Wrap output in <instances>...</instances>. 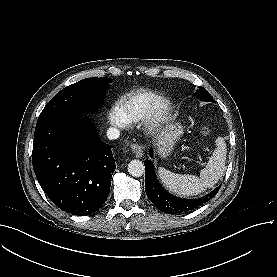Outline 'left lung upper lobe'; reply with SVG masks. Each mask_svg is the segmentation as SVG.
Segmentation results:
<instances>
[{
  "mask_svg": "<svg viewBox=\"0 0 277 277\" xmlns=\"http://www.w3.org/2000/svg\"><path fill=\"white\" fill-rule=\"evenodd\" d=\"M197 98H199L202 101H207V102H214L215 100L211 96V94L203 87H200L198 92L195 94Z\"/></svg>",
  "mask_w": 277,
  "mask_h": 277,
  "instance_id": "5c2ea615",
  "label": "left lung upper lobe"
}]
</instances>
